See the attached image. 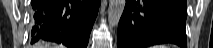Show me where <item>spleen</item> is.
Here are the masks:
<instances>
[{"label":"spleen","mask_w":213,"mask_h":48,"mask_svg":"<svg viewBox=\"0 0 213 48\" xmlns=\"http://www.w3.org/2000/svg\"><path fill=\"white\" fill-rule=\"evenodd\" d=\"M155 48H171L170 46H167V45H159V46H157V47H155Z\"/></svg>","instance_id":"3e777b00"}]
</instances>
